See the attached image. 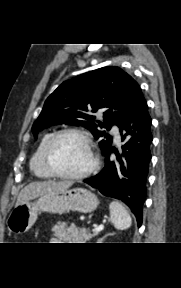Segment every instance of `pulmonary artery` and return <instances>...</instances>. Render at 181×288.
<instances>
[{
  "instance_id": "e3ab8cb5",
  "label": "pulmonary artery",
  "mask_w": 181,
  "mask_h": 288,
  "mask_svg": "<svg viewBox=\"0 0 181 288\" xmlns=\"http://www.w3.org/2000/svg\"><path fill=\"white\" fill-rule=\"evenodd\" d=\"M113 133L115 134V139H116V141H120L121 136H120V134H119V130H118L117 128H114V129H113Z\"/></svg>"
}]
</instances>
